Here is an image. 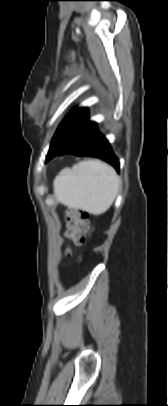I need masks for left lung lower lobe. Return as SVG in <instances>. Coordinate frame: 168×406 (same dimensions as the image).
Returning a JSON list of instances; mask_svg holds the SVG:
<instances>
[{
    "mask_svg": "<svg viewBox=\"0 0 168 406\" xmlns=\"http://www.w3.org/2000/svg\"><path fill=\"white\" fill-rule=\"evenodd\" d=\"M73 153L78 156H93L110 163L119 170V161L112 153L110 144L101 135L93 122H86L84 128L69 142L53 150L46 160L56 154Z\"/></svg>",
    "mask_w": 168,
    "mask_h": 406,
    "instance_id": "1",
    "label": "left lung lower lobe"
}]
</instances>
